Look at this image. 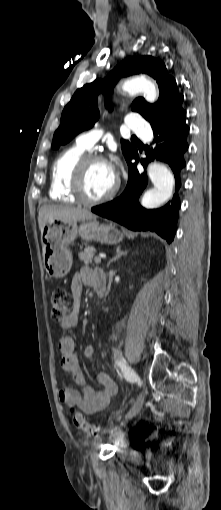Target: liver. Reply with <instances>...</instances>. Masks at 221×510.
I'll use <instances>...</instances> for the list:
<instances>
[{"instance_id": "obj_1", "label": "liver", "mask_w": 221, "mask_h": 510, "mask_svg": "<svg viewBox=\"0 0 221 510\" xmlns=\"http://www.w3.org/2000/svg\"><path fill=\"white\" fill-rule=\"evenodd\" d=\"M96 218L97 216L87 209L64 205H44L39 210L38 224L42 232L49 220L58 219L66 222H78L95 220Z\"/></svg>"}]
</instances>
